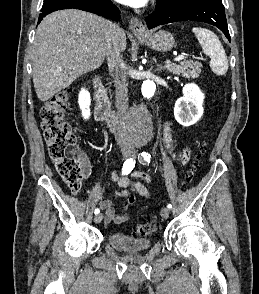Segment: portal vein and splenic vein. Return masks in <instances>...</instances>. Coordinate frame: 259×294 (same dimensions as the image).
Returning <instances> with one entry per match:
<instances>
[{"label": "portal vein and splenic vein", "instance_id": "1", "mask_svg": "<svg viewBox=\"0 0 259 294\" xmlns=\"http://www.w3.org/2000/svg\"><path fill=\"white\" fill-rule=\"evenodd\" d=\"M183 59H184V56H183V55H180V56L176 57V58L174 59V61L178 62V61H181V60H183Z\"/></svg>", "mask_w": 259, "mask_h": 294}]
</instances>
